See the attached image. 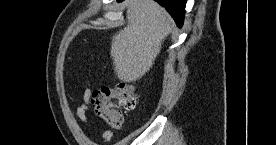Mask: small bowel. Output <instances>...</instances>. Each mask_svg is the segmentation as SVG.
<instances>
[{"label":"small bowel","instance_id":"small-bowel-1","mask_svg":"<svg viewBox=\"0 0 276 145\" xmlns=\"http://www.w3.org/2000/svg\"><path fill=\"white\" fill-rule=\"evenodd\" d=\"M91 94L92 91L89 88H85L83 90V102L81 105L77 108L76 114L78 118L85 123L93 124L94 121L91 119V117L88 114L89 109L92 107V101H91ZM113 137V133L110 130H103L102 132V140L104 144H108Z\"/></svg>","mask_w":276,"mask_h":145}]
</instances>
